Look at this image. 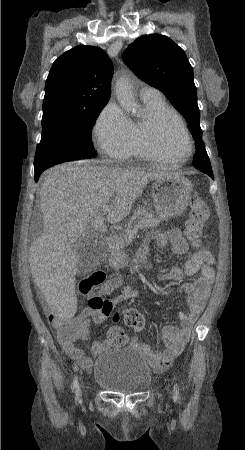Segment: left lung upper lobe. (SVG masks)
Wrapping results in <instances>:
<instances>
[{"instance_id":"left-lung-upper-lobe-1","label":"left lung upper lobe","mask_w":245,"mask_h":450,"mask_svg":"<svg viewBox=\"0 0 245 450\" xmlns=\"http://www.w3.org/2000/svg\"><path fill=\"white\" fill-rule=\"evenodd\" d=\"M122 58L144 82L167 96L185 117L195 144L203 145L193 69L182 48L166 36L143 35L125 50ZM193 165L201 171L212 169L207 153L204 159L195 153Z\"/></svg>"}]
</instances>
